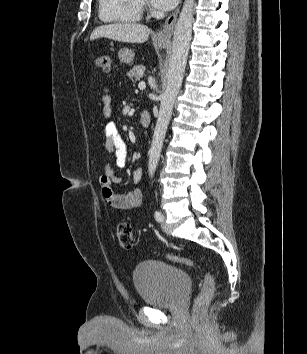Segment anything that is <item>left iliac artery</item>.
I'll list each match as a JSON object with an SVG mask.
<instances>
[{
  "label": "left iliac artery",
  "instance_id": "obj_1",
  "mask_svg": "<svg viewBox=\"0 0 307 354\" xmlns=\"http://www.w3.org/2000/svg\"><path fill=\"white\" fill-rule=\"evenodd\" d=\"M154 217L158 222H161L163 220V215L160 211H155Z\"/></svg>",
  "mask_w": 307,
  "mask_h": 354
}]
</instances>
